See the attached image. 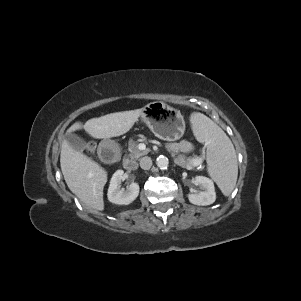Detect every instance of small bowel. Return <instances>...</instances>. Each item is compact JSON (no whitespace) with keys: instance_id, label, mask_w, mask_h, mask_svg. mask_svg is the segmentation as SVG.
Masks as SVG:
<instances>
[{"instance_id":"c3829d8e","label":"small bowel","mask_w":301,"mask_h":301,"mask_svg":"<svg viewBox=\"0 0 301 301\" xmlns=\"http://www.w3.org/2000/svg\"><path fill=\"white\" fill-rule=\"evenodd\" d=\"M169 148L173 153H187L193 149V145L188 140H181L180 142L170 144Z\"/></svg>"}]
</instances>
